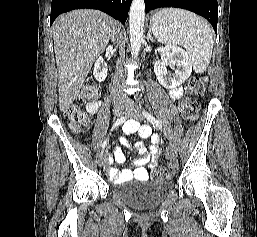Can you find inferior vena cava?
I'll use <instances>...</instances> for the list:
<instances>
[{
  "instance_id": "inferior-vena-cava-1",
  "label": "inferior vena cava",
  "mask_w": 257,
  "mask_h": 237,
  "mask_svg": "<svg viewBox=\"0 0 257 237\" xmlns=\"http://www.w3.org/2000/svg\"><path fill=\"white\" fill-rule=\"evenodd\" d=\"M123 71L121 66L117 65V71H116V79L114 82V88H113V98L114 102H126L128 100L127 95L123 92L122 88L120 87V80L122 78Z\"/></svg>"
}]
</instances>
